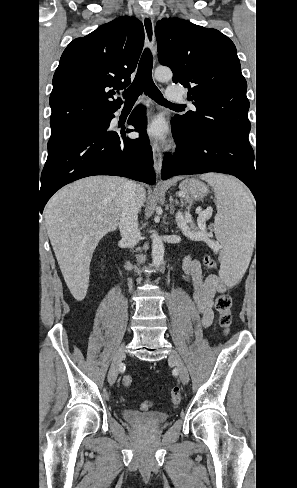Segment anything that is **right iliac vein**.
Wrapping results in <instances>:
<instances>
[{
    "label": "right iliac vein",
    "mask_w": 297,
    "mask_h": 488,
    "mask_svg": "<svg viewBox=\"0 0 297 488\" xmlns=\"http://www.w3.org/2000/svg\"><path fill=\"white\" fill-rule=\"evenodd\" d=\"M125 355H126L125 344H121L115 352L114 358L111 363V367L109 369L108 382L110 384L115 383L117 376L119 374L121 362L125 358Z\"/></svg>",
    "instance_id": "obj_1"
}]
</instances>
